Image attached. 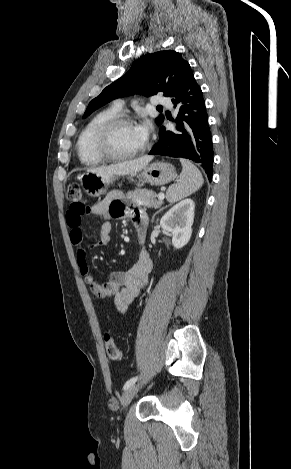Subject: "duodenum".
<instances>
[{
    "instance_id": "1",
    "label": "duodenum",
    "mask_w": 291,
    "mask_h": 469,
    "mask_svg": "<svg viewBox=\"0 0 291 469\" xmlns=\"http://www.w3.org/2000/svg\"><path fill=\"white\" fill-rule=\"evenodd\" d=\"M137 231H138L139 240H140V241H143L144 235H145L144 232H143L142 230H140V229H138Z\"/></svg>"
}]
</instances>
